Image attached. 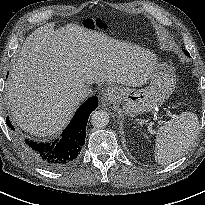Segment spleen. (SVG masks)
Listing matches in <instances>:
<instances>
[{
  "label": "spleen",
  "instance_id": "1",
  "mask_svg": "<svg viewBox=\"0 0 205 205\" xmlns=\"http://www.w3.org/2000/svg\"><path fill=\"white\" fill-rule=\"evenodd\" d=\"M198 131V117L191 112L165 122L156 132V162L166 165L180 158L192 146Z\"/></svg>",
  "mask_w": 205,
  "mask_h": 205
}]
</instances>
